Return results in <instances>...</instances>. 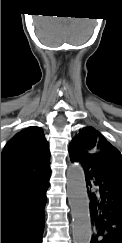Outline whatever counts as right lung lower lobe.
Listing matches in <instances>:
<instances>
[{
	"label": "right lung lower lobe",
	"instance_id": "right-lung-lower-lobe-1",
	"mask_svg": "<svg viewBox=\"0 0 122 243\" xmlns=\"http://www.w3.org/2000/svg\"><path fill=\"white\" fill-rule=\"evenodd\" d=\"M51 170L1 189V243H41Z\"/></svg>",
	"mask_w": 122,
	"mask_h": 243
}]
</instances>
